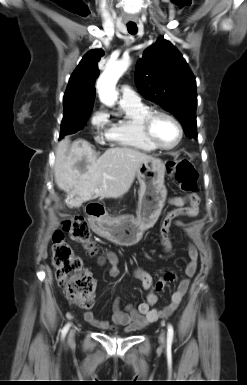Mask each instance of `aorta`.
<instances>
[{"label":"aorta","instance_id":"obj_1","mask_svg":"<svg viewBox=\"0 0 247 385\" xmlns=\"http://www.w3.org/2000/svg\"><path fill=\"white\" fill-rule=\"evenodd\" d=\"M130 59L124 58L118 61H109L105 70L97 80L96 88L99 98L106 106L113 107L118 98L116 84L119 78L130 66Z\"/></svg>","mask_w":247,"mask_h":385}]
</instances>
